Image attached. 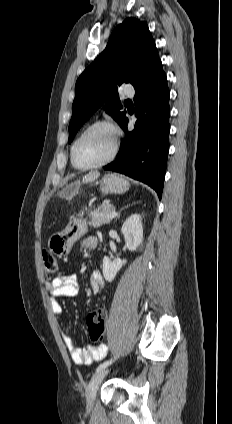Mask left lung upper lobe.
<instances>
[{
  "label": "left lung upper lobe",
  "mask_w": 232,
  "mask_h": 424,
  "mask_svg": "<svg viewBox=\"0 0 232 424\" xmlns=\"http://www.w3.org/2000/svg\"><path fill=\"white\" fill-rule=\"evenodd\" d=\"M160 61L146 22L127 18L112 32L105 50L80 75L76 82L69 143L79 128L103 104L120 125L126 112L121 111L118 86L142 83Z\"/></svg>",
  "instance_id": "obj_1"
}]
</instances>
